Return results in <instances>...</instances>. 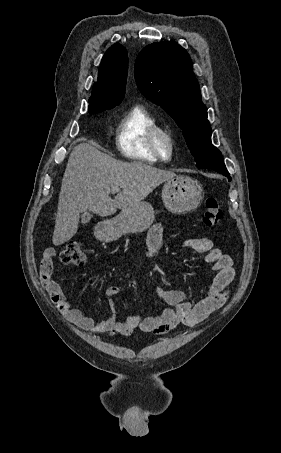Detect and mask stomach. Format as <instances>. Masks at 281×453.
<instances>
[{
  "label": "stomach",
  "mask_w": 281,
  "mask_h": 453,
  "mask_svg": "<svg viewBox=\"0 0 281 453\" xmlns=\"http://www.w3.org/2000/svg\"><path fill=\"white\" fill-rule=\"evenodd\" d=\"M203 198V188L191 176H174L166 180L162 190L164 206L175 212L184 214L198 208ZM155 214L150 202H137L130 208H122L116 218H108L97 224L95 235L100 241L110 243L127 233H143L151 227Z\"/></svg>",
  "instance_id": "0dacf381"
}]
</instances>
